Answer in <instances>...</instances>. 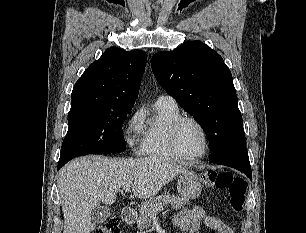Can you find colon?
I'll use <instances>...</instances> for the list:
<instances>
[{
	"mask_svg": "<svg viewBox=\"0 0 306 233\" xmlns=\"http://www.w3.org/2000/svg\"><path fill=\"white\" fill-rule=\"evenodd\" d=\"M203 183L206 187L228 188L230 207L235 212L243 211L248 188V182L244 178L230 172L218 173L209 170L203 174ZM96 233H120L118 218H108Z\"/></svg>",
	"mask_w": 306,
	"mask_h": 233,
	"instance_id": "colon-1",
	"label": "colon"
}]
</instances>
